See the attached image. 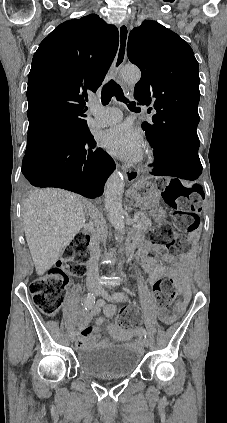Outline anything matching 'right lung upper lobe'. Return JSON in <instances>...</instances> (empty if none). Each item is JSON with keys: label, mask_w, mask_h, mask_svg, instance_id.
<instances>
[{"label": "right lung upper lobe", "mask_w": 227, "mask_h": 423, "mask_svg": "<svg viewBox=\"0 0 227 423\" xmlns=\"http://www.w3.org/2000/svg\"><path fill=\"white\" fill-rule=\"evenodd\" d=\"M118 44V29L96 14L60 24L41 42L28 78L26 154L89 131L87 91L102 84Z\"/></svg>", "instance_id": "1"}]
</instances>
